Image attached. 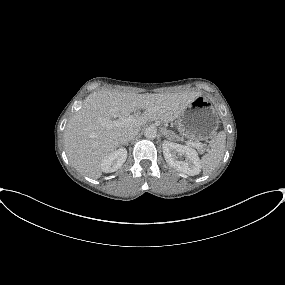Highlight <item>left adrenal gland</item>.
Segmentation results:
<instances>
[{"instance_id": "1", "label": "left adrenal gland", "mask_w": 285, "mask_h": 285, "mask_svg": "<svg viewBox=\"0 0 285 285\" xmlns=\"http://www.w3.org/2000/svg\"><path fill=\"white\" fill-rule=\"evenodd\" d=\"M162 134L167 138V139H171V133L167 130H163L162 131Z\"/></svg>"}]
</instances>
